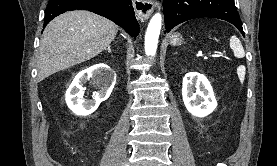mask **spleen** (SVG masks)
<instances>
[{"label":"spleen","mask_w":277,"mask_h":166,"mask_svg":"<svg viewBox=\"0 0 277 166\" xmlns=\"http://www.w3.org/2000/svg\"><path fill=\"white\" fill-rule=\"evenodd\" d=\"M230 48L233 50L235 57L243 58L245 56L243 46L236 36L230 38Z\"/></svg>","instance_id":"1"}]
</instances>
